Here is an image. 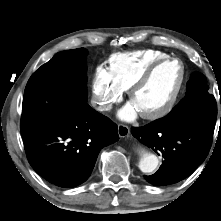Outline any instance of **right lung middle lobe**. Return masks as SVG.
I'll return each mask as SVG.
<instances>
[{
    "label": "right lung middle lobe",
    "mask_w": 221,
    "mask_h": 221,
    "mask_svg": "<svg viewBox=\"0 0 221 221\" xmlns=\"http://www.w3.org/2000/svg\"><path fill=\"white\" fill-rule=\"evenodd\" d=\"M85 48L62 51L29 79L22 104L21 132L67 119L88 99Z\"/></svg>",
    "instance_id": "obj_1"
}]
</instances>
